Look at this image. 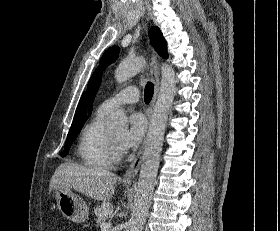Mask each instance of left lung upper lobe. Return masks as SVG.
Masks as SVG:
<instances>
[{"instance_id":"1","label":"left lung upper lobe","mask_w":280,"mask_h":231,"mask_svg":"<svg viewBox=\"0 0 280 231\" xmlns=\"http://www.w3.org/2000/svg\"><path fill=\"white\" fill-rule=\"evenodd\" d=\"M149 36L151 39V43L153 47L156 49V51L158 52V54L163 58H167L168 53H167L166 41L159 28L158 27L151 28L149 31ZM118 56H119L118 47L114 46L107 49L100 60V64L98 68L95 70V72L93 73V75L89 80L88 88H87V99L89 103L90 113H91L95 95L100 85L102 71L107 65L114 62L118 58Z\"/></svg>"}]
</instances>
